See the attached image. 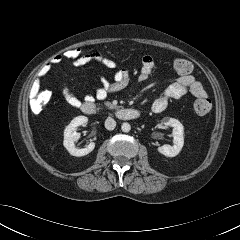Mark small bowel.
I'll return each mask as SVG.
<instances>
[{
	"mask_svg": "<svg viewBox=\"0 0 240 240\" xmlns=\"http://www.w3.org/2000/svg\"><path fill=\"white\" fill-rule=\"evenodd\" d=\"M62 60V55L57 54L40 68L30 88L31 97L38 95L42 81L47 78L52 67L61 63ZM93 61L98 62L110 69H114L116 67V62L113 59L105 57L97 51L86 53L83 59V65ZM154 65L155 62L151 56L146 55L143 57L142 67L138 76V80L140 82H145L150 78L154 69ZM128 80L129 72L127 69L116 70L112 75V80H109L106 77H100V83L95 90V96L87 95L85 100L91 102L94 100V98L102 100L106 98L108 94L117 92L124 88L127 85ZM59 89L69 105L75 108H80L82 106L81 101L71 92L68 87L59 85ZM45 93L48 94L47 92ZM187 93H191L197 99L208 98L206 90L199 81H197L190 74H181L180 77L166 87L164 91L153 101L151 109L154 113H161L167 108L170 100L180 99Z\"/></svg>",
	"mask_w": 240,
	"mask_h": 240,
	"instance_id": "small-bowel-1",
	"label": "small bowel"
}]
</instances>
